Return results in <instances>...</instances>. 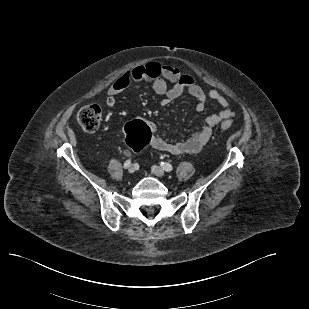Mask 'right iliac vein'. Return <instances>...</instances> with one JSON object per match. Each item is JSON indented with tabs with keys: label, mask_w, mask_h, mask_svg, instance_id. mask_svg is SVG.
I'll return each mask as SVG.
<instances>
[{
	"label": "right iliac vein",
	"mask_w": 309,
	"mask_h": 309,
	"mask_svg": "<svg viewBox=\"0 0 309 309\" xmlns=\"http://www.w3.org/2000/svg\"><path fill=\"white\" fill-rule=\"evenodd\" d=\"M135 166L134 165H131L129 168H128V172L129 173H134L135 172Z\"/></svg>",
	"instance_id": "63e3f726"
}]
</instances>
